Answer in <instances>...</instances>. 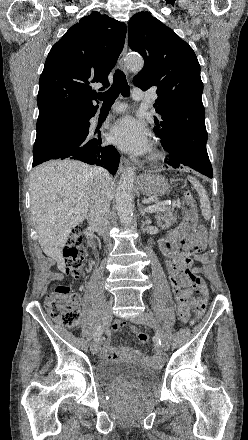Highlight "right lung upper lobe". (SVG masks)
<instances>
[{
  "label": "right lung upper lobe",
  "instance_id": "cb5924a9",
  "mask_svg": "<svg viewBox=\"0 0 248 440\" xmlns=\"http://www.w3.org/2000/svg\"><path fill=\"white\" fill-rule=\"evenodd\" d=\"M126 25L92 12L51 48L39 79L37 130L68 116L93 112L95 90L109 86L108 75L124 46Z\"/></svg>",
  "mask_w": 248,
  "mask_h": 440
}]
</instances>
